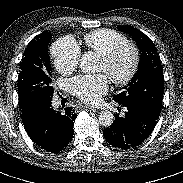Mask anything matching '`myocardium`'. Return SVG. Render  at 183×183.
<instances>
[{
	"instance_id": "1",
	"label": "myocardium",
	"mask_w": 183,
	"mask_h": 183,
	"mask_svg": "<svg viewBox=\"0 0 183 183\" xmlns=\"http://www.w3.org/2000/svg\"><path fill=\"white\" fill-rule=\"evenodd\" d=\"M124 51H130L132 53V63L128 72L123 76L109 75L111 81L116 85L128 84L135 77L141 61L140 50L135 44L126 42L101 55V60L105 63V65L110 66Z\"/></svg>"
}]
</instances>
